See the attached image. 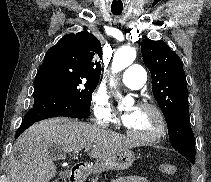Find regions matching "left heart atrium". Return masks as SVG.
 Wrapping results in <instances>:
<instances>
[{"mask_svg": "<svg viewBox=\"0 0 211 182\" xmlns=\"http://www.w3.org/2000/svg\"><path fill=\"white\" fill-rule=\"evenodd\" d=\"M136 115V108H133L131 111L123 115V121L126 125H128Z\"/></svg>", "mask_w": 211, "mask_h": 182, "instance_id": "39dd6f15", "label": "left heart atrium"}]
</instances>
